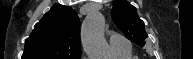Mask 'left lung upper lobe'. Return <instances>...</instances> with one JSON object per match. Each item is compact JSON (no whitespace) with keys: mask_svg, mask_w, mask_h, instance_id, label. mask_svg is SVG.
<instances>
[{"mask_svg":"<svg viewBox=\"0 0 193 59\" xmlns=\"http://www.w3.org/2000/svg\"><path fill=\"white\" fill-rule=\"evenodd\" d=\"M114 23L126 38L143 47L148 35L144 22L138 17L137 10L126 0H115L111 10Z\"/></svg>","mask_w":193,"mask_h":59,"instance_id":"obj_1","label":"left lung upper lobe"}]
</instances>
